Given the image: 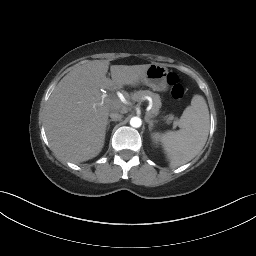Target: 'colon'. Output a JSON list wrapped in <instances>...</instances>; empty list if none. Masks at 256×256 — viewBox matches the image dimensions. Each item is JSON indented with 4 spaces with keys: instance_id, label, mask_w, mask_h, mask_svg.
<instances>
[{
    "instance_id": "colon-1",
    "label": "colon",
    "mask_w": 256,
    "mask_h": 256,
    "mask_svg": "<svg viewBox=\"0 0 256 256\" xmlns=\"http://www.w3.org/2000/svg\"><path fill=\"white\" fill-rule=\"evenodd\" d=\"M167 83L171 88V95L174 99H181L184 95V88L175 73H170L167 76Z\"/></svg>"
}]
</instances>
